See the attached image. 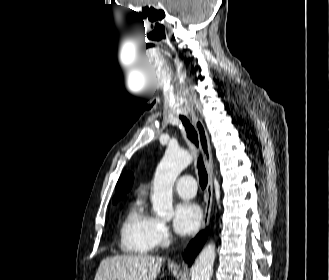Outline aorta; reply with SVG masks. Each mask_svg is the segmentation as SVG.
I'll list each match as a JSON object with an SVG mask.
<instances>
[{
  "instance_id": "obj_1",
  "label": "aorta",
  "mask_w": 329,
  "mask_h": 280,
  "mask_svg": "<svg viewBox=\"0 0 329 280\" xmlns=\"http://www.w3.org/2000/svg\"><path fill=\"white\" fill-rule=\"evenodd\" d=\"M192 162V155L183 149L169 147L159 163L151 196L153 211L161 218L173 217L172 191L178 175ZM216 256L213 242L206 245L191 268V280H210Z\"/></svg>"
}]
</instances>
